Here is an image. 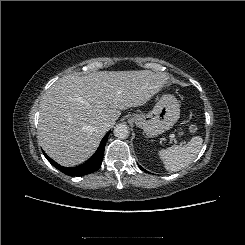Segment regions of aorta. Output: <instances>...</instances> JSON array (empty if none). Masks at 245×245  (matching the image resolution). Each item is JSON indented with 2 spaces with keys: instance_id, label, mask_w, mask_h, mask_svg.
<instances>
[{
  "instance_id": "1",
  "label": "aorta",
  "mask_w": 245,
  "mask_h": 245,
  "mask_svg": "<svg viewBox=\"0 0 245 245\" xmlns=\"http://www.w3.org/2000/svg\"><path fill=\"white\" fill-rule=\"evenodd\" d=\"M114 136L118 139H125L129 136V128L126 124H118L114 128Z\"/></svg>"
}]
</instances>
